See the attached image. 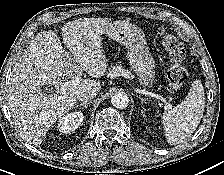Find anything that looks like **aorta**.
Returning <instances> with one entry per match:
<instances>
[{
	"label": "aorta",
	"mask_w": 224,
	"mask_h": 175,
	"mask_svg": "<svg viewBox=\"0 0 224 175\" xmlns=\"http://www.w3.org/2000/svg\"><path fill=\"white\" fill-rule=\"evenodd\" d=\"M111 103L115 108L123 109L128 106L129 98L125 93L117 92L112 96Z\"/></svg>",
	"instance_id": "762f6f07"
}]
</instances>
